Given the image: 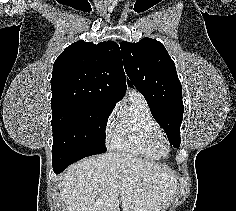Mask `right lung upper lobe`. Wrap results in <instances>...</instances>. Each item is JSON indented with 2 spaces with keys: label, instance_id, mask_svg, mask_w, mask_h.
Returning <instances> with one entry per match:
<instances>
[{
  "label": "right lung upper lobe",
  "instance_id": "cb5924a9",
  "mask_svg": "<svg viewBox=\"0 0 236 211\" xmlns=\"http://www.w3.org/2000/svg\"><path fill=\"white\" fill-rule=\"evenodd\" d=\"M51 107L67 103L115 106L126 91L117 43L77 41L56 59L51 78Z\"/></svg>",
  "mask_w": 236,
  "mask_h": 211
}]
</instances>
